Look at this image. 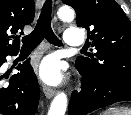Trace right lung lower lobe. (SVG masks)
<instances>
[{"instance_id":"1","label":"right lung lower lobe","mask_w":131,"mask_h":115,"mask_svg":"<svg viewBox=\"0 0 131 115\" xmlns=\"http://www.w3.org/2000/svg\"><path fill=\"white\" fill-rule=\"evenodd\" d=\"M5 62L6 56L0 57V67ZM17 69L20 70V73L13 75L9 84L0 82V113L4 115H35L40 92L30 59L22 65L20 64ZM3 77L0 76V81Z\"/></svg>"}]
</instances>
